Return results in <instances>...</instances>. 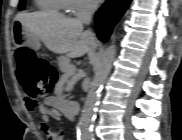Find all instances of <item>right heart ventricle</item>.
Masks as SVG:
<instances>
[{
	"label": "right heart ventricle",
	"mask_w": 182,
	"mask_h": 140,
	"mask_svg": "<svg viewBox=\"0 0 182 140\" xmlns=\"http://www.w3.org/2000/svg\"><path fill=\"white\" fill-rule=\"evenodd\" d=\"M38 7L45 11L59 12L65 9L66 0H38Z\"/></svg>",
	"instance_id": "obj_1"
}]
</instances>
